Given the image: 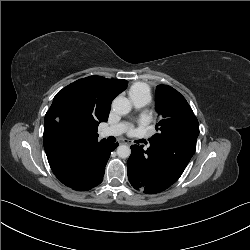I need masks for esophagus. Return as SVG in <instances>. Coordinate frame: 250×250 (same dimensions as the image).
<instances>
[{"mask_svg": "<svg viewBox=\"0 0 250 250\" xmlns=\"http://www.w3.org/2000/svg\"><path fill=\"white\" fill-rule=\"evenodd\" d=\"M120 144H129V141L127 139H121Z\"/></svg>", "mask_w": 250, "mask_h": 250, "instance_id": "34e87169", "label": "esophagus"}]
</instances>
